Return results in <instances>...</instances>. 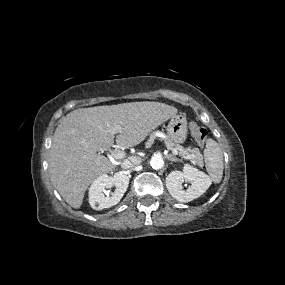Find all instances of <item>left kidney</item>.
Instances as JSON below:
<instances>
[{
    "mask_svg": "<svg viewBox=\"0 0 285 285\" xmlns=\"http://www.w3.org/2000/svg\"><path fill=\"white\" fill-rule=\"evenodd\" d=\"M184 181L191 183L187 190H183ZM210 185L211 179L206 174L188 164L184 166L183 172L174 170L166 177L170 195L180 202H190L200 197Z\"/></svg>",
    "mask_w": 285,
    "mask_h": 285,
    "instance_id": "1",
    "label": "left kidney"
}]
</instances>
